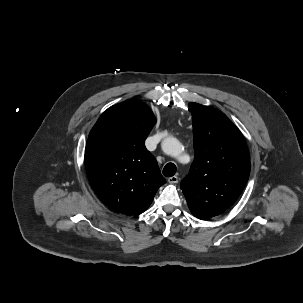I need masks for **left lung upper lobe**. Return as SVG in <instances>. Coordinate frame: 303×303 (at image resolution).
Here are the masks:
<instances>
[{
    "label": "left lung upper lobe",
    "mask_w": 303,
    "mask_h": 303,
    "mask_svg": "<svg viewBox=\"0 0 303 303\" xmlns=\"http://www.w3.org/2000/svg\"><path fill=\"white\" fill-rule=\"evenodd\" d=\"M189 107L195 158L180 187L192 214L209 219L239 198L249 178V153L241 132L224 113L197 103Z\"/></svg>",
    "instance_id": "left-lung-upper-lobe-1"
}]
</instances>
